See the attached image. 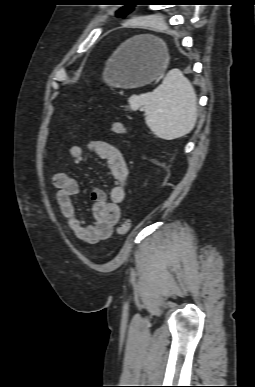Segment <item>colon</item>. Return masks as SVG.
Here are the masks:
<instances>
[{
	"label": "colon",
	"mask_w": 255,
	"mask_h": 387,
	"mask_svg": "<svg viewBox=\"0 0 255 387\" xmlns=\"http://www.w3.org/2000/svg\"><path fill=\"white\" fill-rule=\"evenodd\" d=\"M111 130L114 134L123 136L127 133L126 126L120 121H113L111 123ZM132 227V221L129 218L124 219L117 227V232L124 235L129 232Z\"/></svg>",
	"instance_id": "5ec220e1"
}]
</instances>
